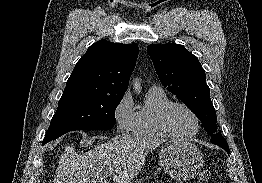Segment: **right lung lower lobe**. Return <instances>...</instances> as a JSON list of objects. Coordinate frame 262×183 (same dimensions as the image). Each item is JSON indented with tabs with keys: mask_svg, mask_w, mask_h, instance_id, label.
<instances>
[{
	"mask_svg": "<svg viewBox=\"0 0 262 183\" xmlns=\"http://www.w3.org/2000/svg\"><path fill=\"white\" fill-rule=\"evenodd\" d=\"M45 143H47V142L43 141V143H42V144L44 145Z\"/></svg>",
	"mask_w": 262,
	"mask_h": 183,
	"instance_id": "1",
	"label": "right lung lower lobe"
}]
</instances>
